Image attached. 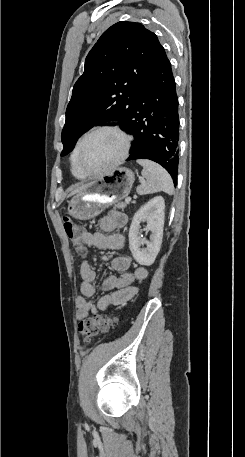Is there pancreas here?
<instances>
[{
	"label": "pancreas",
	"mask_w": 245,
	"mask_h": 457,
	"mask_svg": "<svg viewBox=\"0 0 245 457\" xmlns=\"http://www.w3.org/2000/svg\"><path fill=\"white\" fill-rule=\"evenodd\" d=\"M115 208H122L124 210L125 206H127L128 202H113Z\"/></svg>",
	"instance_id": "1"
}]
</instances>
